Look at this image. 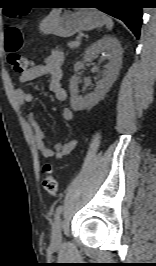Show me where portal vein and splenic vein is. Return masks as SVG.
I'll return each instance as SVG.
<instances>
[{"instance_id":"obj_1","label":"portal vein and splenic vein","mask_w":156,"mask_h":266,"mask_svg":"<svg viewBox=\"0 0 156 266\" xmlns=\"http://www.w3.org/2000/svg\"><path fill=\"white\" fill-rule=\"evenodd\" d=\"M80 39H81V36H78V37H77V40H80Z\"/></svg>"}]
</instances>
